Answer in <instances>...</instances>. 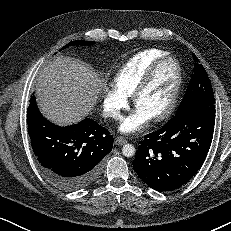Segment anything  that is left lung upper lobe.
<instances>
[{"mask_svg": "<svg viewBox=\"0 0 231 231\" xmlns=\"http://www.w3.org/2000/svg\"><path fill=\"white\" fill-rule=\"evenodd\" d=\"M195 61L194 74L191 77L185 97L177 113L193 106H212L214 105V96L210 79L200 64L198 58L193 54Z\"/></svg>", "mask_w": 231, "mask_h": 231, "instance_id": "5c2ea615", "label": "left lung upper lobe"}]
</instances>
